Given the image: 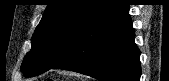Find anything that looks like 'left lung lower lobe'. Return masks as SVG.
I'll use <instances>...</instances> for the list:
<instances>
[{
    "instance_id": "obj_1",
    "label": "left lung lower lobe",
    "mask_w": 169,
    "mask_h": 81,
    "mask_svg": "<svg viewBox=\"0 0 169 81\" xmlns=\"http://www.w3.org/2000/svg\"><path fill=\"white\" fill-rule=\"evenodd\" d=\"M134 39L129 4L117 0L81 31L51 69L74 71L101 81H139L140 51Z\"/></svg>"
}]
</instances>
